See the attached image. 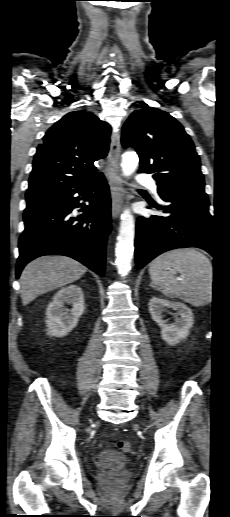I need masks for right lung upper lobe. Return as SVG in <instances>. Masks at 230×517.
I'll list each match as a JSON object with an SVG mask.
<instances>
[{
	"mask_svg": "<svg viewBox=\"0 0 230 517\" xmlns=\"http://www.w3.org/2000/svg\"><path fill=\"white\" fill-rule=\"evenodd\" d=\"M110 133L111 127L90 112L62 117L37 148L26 198L75 188L100 176L94 162L107 156Z\"/></svg>",
	"mask_w": 230,
	"mask_h": 517,
	"instance_id": "right-lung-upper-lobe-1",
	"label": "right lung upper lobe"
}]
</instances>
